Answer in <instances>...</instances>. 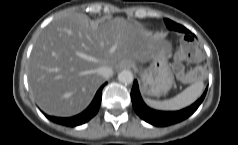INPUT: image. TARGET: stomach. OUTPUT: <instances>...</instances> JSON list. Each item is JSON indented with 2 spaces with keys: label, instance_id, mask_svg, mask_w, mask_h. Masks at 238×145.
<instances>
[{
  "label": "stomach",
  "instance_id": "obj_1",
  "mask_svg": "<svg viewBox=\"0 0 238 145\" xmlns=\"http://www.w3.org/2000/svg\"><path fill=\"white\" fill-rule=\"evenodd\" d=\"M170 52V44L163 42L159 55L152 59L147 68L140 69L141 89L145 95L159 97L173 86L174 76L168 63Z\"/></svg>",
  "mask_w": 238,
  "mask_h": 145
}]
</instances>
